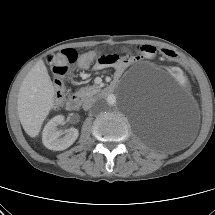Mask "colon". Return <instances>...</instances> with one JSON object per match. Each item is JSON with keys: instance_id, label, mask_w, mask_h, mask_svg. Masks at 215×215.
I'll list each match as a JSON object with an SVG mask.
<instances>
[{"instance_id": "obj_1", "label": "colon", "mask_w": 215, "mask_h": 215, "mask_svg": "<svg viewBox=\"0 0 215 215\" xmlns=\"http://www.w3.org/2000/svg\"><path fill=\"white\" fill-rule=\"evenodd\" d=\"M160 55L170 61L177 62L178 64H184V70L190 71L191 64L188 63L187 57H182L177 52L162 48L159 51ZM95 57L93 52H87L80 57L74 49H65L61 52L51 54L47 57V62L50 65L53 73L55 74V91H56V103L61 104L65 95V83L63 76L67 71L68 65L76 62L79 59L80 65L87 66Z\"/></svg>"}]
</instances>
